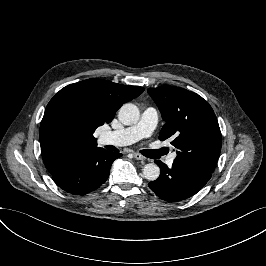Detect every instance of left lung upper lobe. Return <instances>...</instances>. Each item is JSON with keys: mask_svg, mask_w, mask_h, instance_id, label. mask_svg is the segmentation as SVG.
<instances>
[{"mask_svg": "<svg viewBox=\"0 0 266 266\" xmlns=\"http://www.w3.org/2000/svg\"><path fill=\"white\" fill-rule=\"evenodd\" d=\"M149 95L165 121L159 139L174 138L176 161L213 172L221 152V132L215 113L201 96L182 88H149Z\"/></svg>", "mask_w": 266, "mask_h": 266, "instance_id": "left-lung-upper-lobe-1", "label": "left lung upper lobe"}]
</instances>
